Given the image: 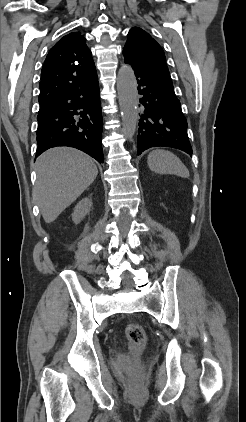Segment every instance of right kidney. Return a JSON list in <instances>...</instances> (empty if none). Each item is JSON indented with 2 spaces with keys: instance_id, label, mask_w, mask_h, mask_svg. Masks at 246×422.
<instances>
[{
  "instance_id": "right-kidney-1",
  "label": "right kidney",
  "mask_w": 246,
  "mask_h": 422,
  "mask_svg": "<svg viewBox=\"0 0 246 422\" xmlns=\"http://www.w3.org/2000/svg\"><path fill=\"white\" fill-rule=\"evenodd\" d=\"M92 202L89 198H83L80 200L74 208L72 213V220L75 224L80 223V221L90 212Z\"/></svg>"
}]
</instances>
